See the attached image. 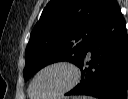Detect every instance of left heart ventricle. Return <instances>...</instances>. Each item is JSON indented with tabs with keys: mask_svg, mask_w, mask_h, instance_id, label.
Instances as JSON below:
<instances>
[{
	"mask_svg": "<svg viewBox=\"0 0 128 99\" xmlns=\"http://www.w3.org/2000/svg\"><path fill=\"white\" fill-rule=\"evenodd\" d=\"M72 79V73L65 67H56L42 72L33 85V95L43 97L55 94L66 87Z\"/></svg>",
	"mask_w": 128,
	"mask_h": 99,
	"instance_id": "obj_1",
	"label": "left heart ventricle"
}]
</instances>
